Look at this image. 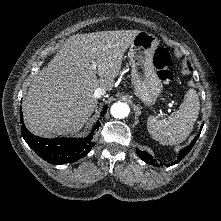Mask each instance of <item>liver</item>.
I'll return each mask as SVG.
<instances>
[{"label":"liver","mask_w":221,"mask_h":221,"mask_svg":"<svg viewBox=\"0 0 221 221\" xmlns=\"http://www.w3.org/2000/svg\"><path fill=\"white\" fill-rule=\"evenodd\" d=\"M139 32L113 30L70 36L35 76L24 98V118L31 132L52 137L80 130L97 107L94 91L98 87L112 90L124 53Z\"/></svg>","instance_id":"6515ba94"}]
</instances>
